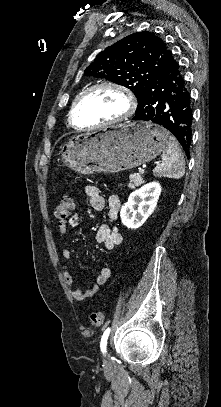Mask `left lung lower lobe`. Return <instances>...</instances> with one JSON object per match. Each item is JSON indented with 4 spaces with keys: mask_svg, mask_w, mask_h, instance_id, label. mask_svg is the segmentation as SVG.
Here are the masks:
<instances>
[{
    "mask_svg": "<svg viewBox=\"0 0 221 407\" xmlns=\"http://www.w3.org/2000/svg\"><path fill=\"white\" fill-rule=\"evenodd\" d=\"M133 120L150 121L169 130L189 157L193 112L190 91L178 61L173 57L146 85Z\"/></svg>",
    "mask_w": 221,
    "mask_h": 407,
    "instance_id": "1",
    "label": "left lung lower lobe"
}]
</instances>
